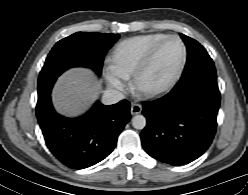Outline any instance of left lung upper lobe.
<instances>
[{
  "label": "left lung upper lobe",
  "instance_id": "left-lung-upper-lobe-1",
  "mask_svg": "<svg viewBox=\"0 0 248 195\" xmlns=\"http://www.w3.org/2000/svg\"><path fill=\"white\" fill-rule=\"evenodd\" d=\"M180 36L188 52L187 62L180 82L191 84L199 80L217 79L214 63L205 48L196 40L184 34H180Z\"/></svg>",
  "mask_w": 248,
  "mask_h": 195
}]
</instances>
